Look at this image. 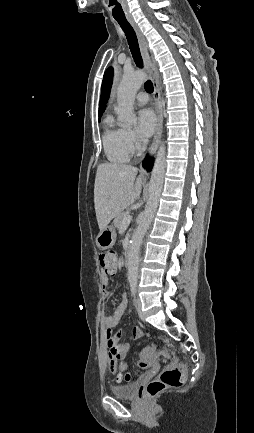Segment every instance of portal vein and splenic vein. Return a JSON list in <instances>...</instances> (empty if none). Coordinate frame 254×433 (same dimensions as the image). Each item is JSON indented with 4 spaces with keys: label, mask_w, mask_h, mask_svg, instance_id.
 <instances>
[{
    "label": "portal vein and splenic vein",
    "mask_w": 254,
    "mask_h": 433,
    "mask_svg": "<svg viewBox=\"0 0 254 433\" xmlns=\"http://www.w3.org/2000/svg\"><path fill=\"white\" fill-rule=\"evenodd\" d=\"M131 220H132V216L131 215H127V216H125L123 218L122 222H123L124 225H127V224H129L131 222Z\"/></svg>",
    "instance_id": "obj_1"
}]
</instances>
